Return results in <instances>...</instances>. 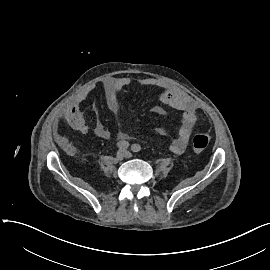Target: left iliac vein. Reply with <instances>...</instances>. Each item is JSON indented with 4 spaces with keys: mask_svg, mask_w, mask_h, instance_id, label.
I'll return each instance as SVG.
<instances>
[{
    "mask_svg": "<svg viewBox=\"0 0 270 270\" xmlns=\"http://www.w3.org/2000/svg\"><path fill=\"white\" fill-rule=\"evenodd\" d=\"M131 156H132L131 153L126 152V157H127V158H129V157H131Z\"/></svg>",
    "mask_w": 270,
    "mask_h": 270,
    "instance_id": "left-iliac-vein-1",
    "label": "left iliac vein"
}]
</instances>
